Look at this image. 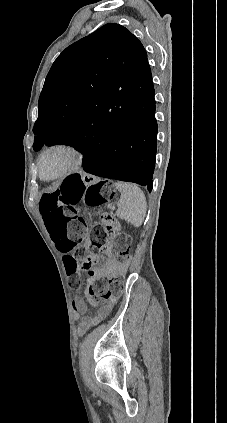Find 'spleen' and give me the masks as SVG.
Here are the masks:
<instances>
[{
  "label": "spleen",
  "mask_w": 227,
  "mask_h": 423,
  "mask_svg": "<svg viewBox=\"0 0 227 423\" xmlns=\"http://www.w3.org/2000/svg\"><path fill=\"white\" fill-rule=\"evenodd\" d=\"M115 186L118 192H121L116 211L118 217L139 227L144 221L147 210V202L142 190L137 184H128V182H117Z\"/></svg>",
  "instance_id": "1"
}]
</instances>
